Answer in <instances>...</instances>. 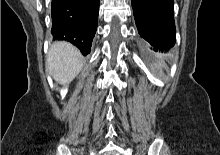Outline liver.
<instances>
[{
    "label": "liver",
    "mask_w": 220,
    "mask_h": 155,
    "mask_svg": "<svg viewBox=\"0 0 220 155\" xmlns=\"http://www.w3.org/2000/svg\"><path fill=\"white\" fill-rule=\"evenodd\" d=\"M46 66L56 82L69 84L82 70L79 50L68 42H55L49 49Z\"/></svg>",
    "instance_id": "6515ba94"
}]
</instances>
